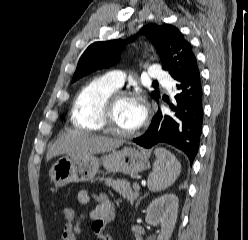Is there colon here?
Wrapping results in <instances>:
<instances>
[{
    "mask_svg": "<svg viewBox=\"0 0 248 240\" xmlns=\"http://www.w3.org/2000/svg\"><path fill=\"white\" fill-rule=\"evenodd\" d=\"M62 212H63L64 220L68 222L76 217L77 209L73 206H65Z\"/></svg>",
    "mask_w": 248,
    "mask_h": 240,
    "instance_id": "1",
    "label": "colon"
}]
</instances>
